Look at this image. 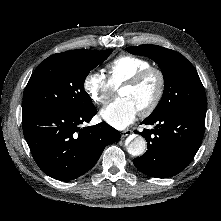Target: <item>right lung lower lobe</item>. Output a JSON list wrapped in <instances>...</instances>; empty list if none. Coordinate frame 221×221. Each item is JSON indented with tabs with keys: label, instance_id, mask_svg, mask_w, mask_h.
Listing matches in <instances>:
<instances>
[{
	"label": "right lung lower lobe",
	"instance_id": "right-lung-lower-lobe-1",
	"mask_svg": "<svg viewBox=\"0 0 221 221\" xmlns=\"http://www.w3.org/2000/svg\"><path fill=\"white\" fill-rule=\"evenodd\" d=\"M96 113L95 107L78 113L22 111L24 137L44 173L62 181L76 179L96 164L107 145L120 139L106 123L80 127Z\"/></svg>",
	"mask_w": 221,
	"mask_h": 221
}]
</instances>
